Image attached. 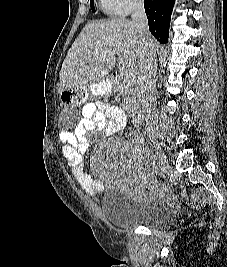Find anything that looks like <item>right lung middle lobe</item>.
I'll return each mask as SVG.
<instances>
[{"instance_id": "dd1d6c3e", "label": "right lung middle lobe", "mask_w": 227, "mask_h": 267, "mask_svg": "<svg viewBox=\"0 0 227 267\" xmlns=\"http://www.w3.org/2000/svg\"><path fill=\"white\" fill-rule=\"evenodd\" d=\"M90 6L93 12H95L93 0H90Z\"/></svg>"}]
</instances>
